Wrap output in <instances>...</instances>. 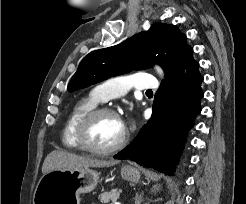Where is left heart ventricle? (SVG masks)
Returning a JSON list of instances; mask_svg holds the SVG:
<instances>
[{"label": "left heart ventricle", "mask_w": 246, "mask_h": 204, "mask_svg": "<svg viewBox=\"0 0 246 204\" xmlns=\"http://www.w3.org/2000/svg\"><path fill=\"white\" fill-rule=\"evenodd\" d=\"M121 120L112 115L95 119L87 133L88 142L98 148H107L117 143L124 132Z\"/></svg>", "instance_id": "left-heart-ventricle-1"}]
</instances>
